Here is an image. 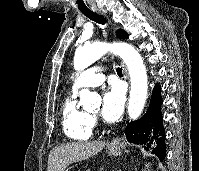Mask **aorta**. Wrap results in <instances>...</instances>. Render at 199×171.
Here are the masks:
<instances>
[{
    "label": "aorta",
    "instance_id": "obj_1",
    "mask_svg": "<svg viewBox=\"0 0 199 171\" xmlns=\"http://www.w3.org/2000/svg\"><path fill=\"white\" fill-rule=\"evenodd\" d=\"M118 54L126 64L131 80V90L128 114L131 119H137L143 111L147 98V73L141 55L127 43H93L78 48L74 56V68L83 70L101 58L106 52ZM80 103L84 108H90L100 103V96L89 90L80 91Z\"/></svg>",
    "mask_w": 199,
    "mask_h": 171
}]
</instances>
